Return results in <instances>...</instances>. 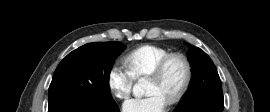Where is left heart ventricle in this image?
<instances>
[{"instance_id":"obj_1","label":"left heart ventricle","mask_w":270,"mask_h":112,"mask_svg":"<svg viewBox=\"0 0 270 112\" xmlns=\"http://www.w3.org/2000/svg\"><path fill=\"white\" fill-rule=\"evenodd\" d=\"M185 78V66L182 61L173 60L161 80L148 79L146 94L157 93L168 102L180 89Z\"/></svg>"}]
</instances>
